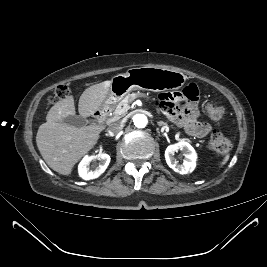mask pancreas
<instances>
[{
    "instance_id": "1",
    "label": "pancreas",
    "mask_w": 267,
    "mask_h": 267,
    "mask_svg": "<svg viewBox=\"0 0 267 267\" xmlns=\"http://www.w3.org/2000/svg\"><path fill=\"white\" fill-rule=\"evenodd\" d=\"M134 98L135 96L133 94H128L117 104L113 105L108 113V121H116L120 117L124 116L129 109V103H131Z\"/></svg>"
}]
</instances>
